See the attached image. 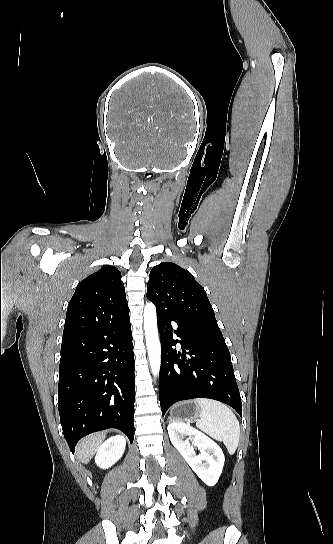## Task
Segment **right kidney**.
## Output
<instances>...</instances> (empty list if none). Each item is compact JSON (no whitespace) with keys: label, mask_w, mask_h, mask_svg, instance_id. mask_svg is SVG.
<instances>
[{"label":"right kidney","mask_w":333,"mask_h":544,"mask_svg":"<svg viewBox=\"0 0 333 544\" xmlns=\"http://www.w3.org/2000/svg\"><path fill=\"white\" fill-rule=\"evenodd\" d=\"M125 447L126 440L121 435L107 439L97 451L96 465L101 469H108L122 457Z\"/></svg>","instance_id":"right-kidney-1"}]
</instances>
